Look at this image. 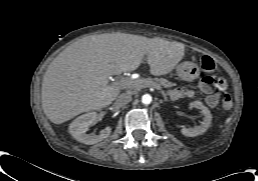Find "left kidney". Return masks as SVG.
Listing matches in <instances>:
<instances>
[{
	"label": "left kidney",
	"instance_id": "obj_1",
	"mask_svg": "<svg viewBox=\"0 0 258 181\" xmlns=\"http://www.w3.org/2000/svg\"><path fill=\"white\" fill-rule=\"evenodd\" d=\"M190 108H196V109L200 110V112L204 115L203 121L198 126L182 128L181 133L184 136L195 137V136L201 135L207 131V129L211 125L212 115H211L209 109L206 106H204L203 103L200 101L191 102Z\"/></svg>",
	"mask_w": 258,
	"mask_h": 181
}]
</instances>
